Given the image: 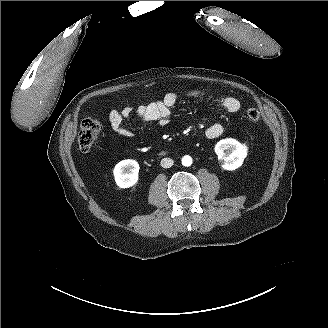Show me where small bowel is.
Listing matches in <instances>:
<instances>
[{"mask_svg": "<svg viewBox=\"0 0 328 328\" xmlns=\"http://www.w3.org/2000/svg\"><path fill=\"white\" fill-rule=\"evenodd\" d=\"M204 94L205 92L199 89H190L184 93L188 98H198ZM177 101L178 94L169 92L164 96L163 100L144 104L137 108L127 106L121 110L113 109L108 114L110 128L123 137H131L133 134L124 126V122L133 118L142 122H156L160 126H165ZM216 101L230 113H236L241 109V102L233 96H217ZM222 133L223 127L218 123L209 126L205 132L206 137L209 139H216Z\"/></svg>", "mask_w": 328, "mask_h": 328, "instance_id": "obj_1", "label": "small bowel"}]
</instances>
